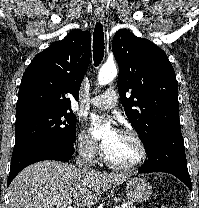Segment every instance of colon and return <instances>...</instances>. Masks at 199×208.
<instances>
[{
    "label": "colon",
    "mask_w": 199,
    "mask_h": 208,
    "mask_svg": "<svg viewBox=\"0 0 199 208\" xmlns=\"http://www.w3.org/2000/svg\"><path fill=\"white\" fill-rule=\"evenodd\" d=\"M154 208H168V207L162 203H156Z\"/></svg>",
    "instance_id": "5ec220e1"
}]
</instances>
